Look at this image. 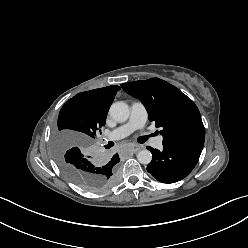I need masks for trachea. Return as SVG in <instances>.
Wrapping results in <instances>:
<instances>
[{"label":"trachea","mask_w":248,"mask_h":248,"mask_svg":"<svg viewBox=\"0 0 248 248\" xmlns=\"http://www.w3.org/2000/svg\"><path fill=\"white\" fill-rule=\"evenodd\" d=\"M148 139V136H142L141 137V142L144 143L145 141H147Z\"/></svg>","instance_id":"obj_1"}]
</instances>
